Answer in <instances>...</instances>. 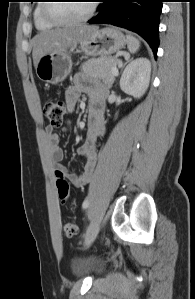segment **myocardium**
Returning <instances> with one entry per match:
<instances>
[{
  "instance_id": "1",
  "label": "myocardium",
  "mask_w": 195,
  "mask_h": 299,
  "mask_svg": "<svg viewBox=\"0 0 195 299\" xmlns=\"http://www.w3.org/2000/svg\"><path fill=\"white\" fill-rule=\"evenodd\" d=\"M46 2H50V1H46ZM91 2L92 3L90 5L88 12L84 16L75 18V19H60V18L54 16L50 11V7L53 3H44L43 7H42V14L48 22H50L56 26L76 25V24H80V23L89 21L96 13L98 5L95 0H92Z\"/></svg>"
}]
</instances>
